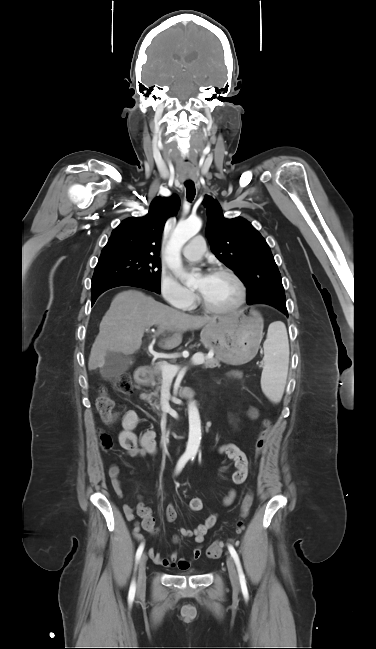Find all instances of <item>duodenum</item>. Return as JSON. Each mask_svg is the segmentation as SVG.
<instances>
[{
	"mask_svg": "<svg viewBox=\"0 0 376 649\" xmlns=\"http://www.w3.org/2000/svg\"><path fill=\"white\" fill-rule=\"evenodd\" d=\"M149 375V368L147 366H141L139 367L136 372H135V382L137 384H145L147 382ZM180 395L181 396H190V390L189 389H181L180 390Z\"/></svg>",
	"mask_w": 376,
	"mask_h": 649,
	"instance_id": "obj_1",
	"label": "duodenum"
}]
</instances>
